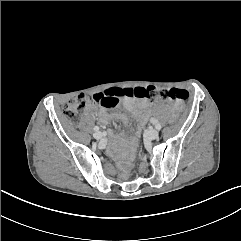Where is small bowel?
Listing matches in <instances>:
<instances>
[{"label":"small bowel","instance_id":"1","mask_svg":"<svg viewBox=\"0 0 241 241\" xmlns=\"http://www.w3.org/2000/svg\"><path fill=\"white\" fill-rule=\"evenodd\" d=\"M120 103H121V99L114 107L119 106ZM123 105L132 113L143 116L145 115L146 110L150 106V102L147 100L136 101L131 97H126L125 99H123ZM100 106H102V108L98 110L97 114L102 123H106L109 119L115 117L114 115H111L106 111V108H114V107H108L103 105H100ZM178 107L180 108V105H178ZM88 108H89V111L92 110V106Z\"/></svg>","mask_w":241,"mask_h":241}]
</instances>
